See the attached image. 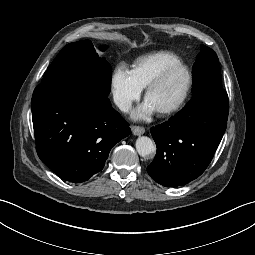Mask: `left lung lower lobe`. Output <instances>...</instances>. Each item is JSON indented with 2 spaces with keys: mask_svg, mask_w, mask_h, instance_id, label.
<instances>
[{
  "mask_svg": "<svg viewBox=\"0 0 255 255\" xmlns=\"http://www.w3.org/2000/svg\"><path fill=\"white\" fill-rule=\"evenodd\" d=\"M227 92L208 84L167 122L152 127L157 145L148 174L167 187L183 186L199 177L210 164L227 125Z\"/></svg>",
  "mask_w": 255,
  "mask_h": 255,
  "instance_id": "left-lung-lower-lobe-1",
  "label": "left lung lower lobe"
}]
</instances>
